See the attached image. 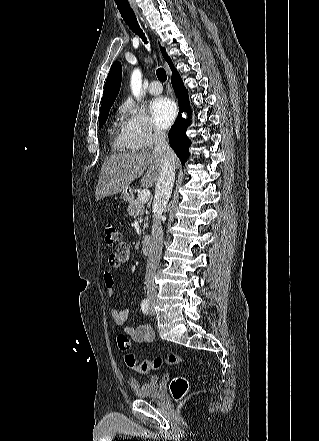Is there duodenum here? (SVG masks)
Instances as JSON below:
<instances>
[{"label": "duodenum", "instance_id": "410a0bca", "mask_svg": "<svg viewBox=\"0 0 319 441\" xmlns=\"http://www.w3.org/2000/svg\"><path fill=\"white\" fill-rule=\"evenodd\" d=\"M141 250L143 254L149 255L152 251V240L151 237L146 235L143 237L141 242Z\"/></svg>", "mask_w": 319, "mask_h": 441}]
</instances>
